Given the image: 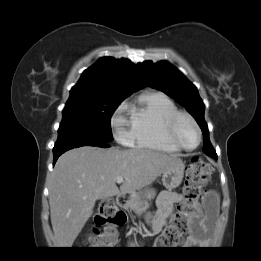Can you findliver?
I'll list each match as a JSON object with an SVG mask.
<instances>
[{
    "mask_svg": "<svg viewBox=\"0 0 261 261\" xmlns=\"http://www.w3.org/2000/svg\"><path fill=\"white\" fill-rule=\"evenodd\" d=\"M180 159L147 149L84 146L57 160L49 186L50 218L58 247L68 248L93 213L97 199L135 195ZM118 177H123L120 189Z\"/></svg>",
    "mask_w": 261,
    "mask_h": 261,
    "instance_id": "6515ba94",
    "label": "liver"
}]
</instances>
